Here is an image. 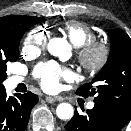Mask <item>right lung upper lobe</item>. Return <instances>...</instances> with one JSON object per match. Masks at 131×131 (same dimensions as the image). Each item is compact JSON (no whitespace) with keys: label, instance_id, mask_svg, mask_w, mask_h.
<instances>
[{"label":"right lung upper lobe","instance_id":"cb5924a9","mask_svg":"<svg viewBox=\"0 0 131 131\" xmlns=\"http://www.w3.org/2000/svg\"><path fill=\"white\" fill-rule=\"evenodd\" d=\"M20 17L22 16L12 15L0 18V45L5 44L9 40V29Z\"/></svg>","mask_w":131,"mask_h":131}]
</instances>
